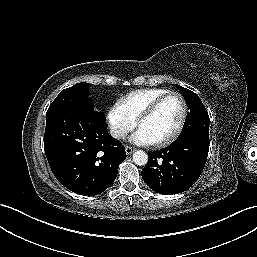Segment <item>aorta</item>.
<instances>
[{
    "label": "aorta",
    "instance_id": "762f6f07",
    "mask_svg": "<svg viewBox=\"0 0 257 257\" xmlns=\"http://www.w3.org/2000/svg\"><path fill=\"white\" fill-rule=\"evenodd\" d=\"M133 161L139 166L146 165L148 162V155L144 151L138 150L133 153Z\"/></svg>",
    "mask_w": 257,
    "mask_h": 257
}]
</instances>
